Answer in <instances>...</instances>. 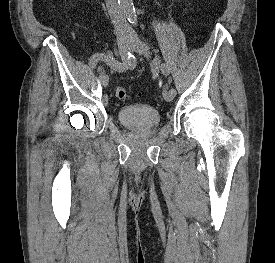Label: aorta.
Masks as SVG:
<instances>
[{
    "label": "aorta",
    "mask_w": 275,
    "mask_h": 263,
    "mask_svg": "<svg viewBox=\"0 0 275 263\" xmlns=\"http://www.w3.org/2000/svg\"><path fill=\"white\" fill-rule=\"evenodd\" d=\"M119 4L128 21L132 24H136L137 15L133 0H119Z\"/></svg>",
    "instance_id": "obj_1"
}]
</instances>
